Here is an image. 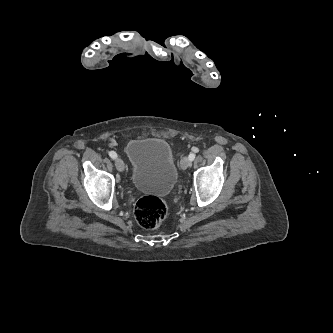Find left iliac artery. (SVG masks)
<instances>
[{
    "mask_svg": "<svg viewBox=\"0 0 333 333\" xmlns=\"http://www.w3.org/2000/svg\"><path fill=\"white\" fill-rule=\"evenodd\" d=\"M195 156H196L195 153H190L188 158L190 161H193L195 159Z\"/></svg>",
    "mask_w": 333,
    "mask_h": 333,
    "instance_id": "left-iliac-artery-1",
    "label": "left iliac artery"
}]
</instances>
